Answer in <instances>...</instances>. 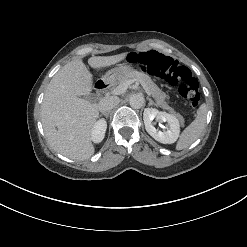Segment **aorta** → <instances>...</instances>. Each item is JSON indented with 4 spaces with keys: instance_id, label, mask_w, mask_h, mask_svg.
Returning <instances> with one entry per match:
<instances>
[{
    "instance_id": "1",
    "label": "aorta",
    "mask_w": 247,
    "mask_h": 247,
    "mask_svg": "<svg viewBox=\"0 0 247 247\" xmlns=\"http://www.w3.org/2000/svg\"><path fill=\"white\" fill-rule=\"evenodd\" d=\"M144 97L141 94H133L129 98V104L134 109H140L144 105Z\"/></svg>"
}]
</instances>
